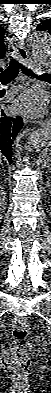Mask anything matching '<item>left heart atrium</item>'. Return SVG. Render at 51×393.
<instances>
[{
	"label": "left heart atrium",
	"mask_w": 51,
	"mask_h": 393,
	"mask_svg": "<svg viewBox=\"0 0 51 393\" xmlns=\"http://www.w3.org/2000/svg\"><path fill=\"white\" fill-rule=\"evenodd\" d=\"M14 107L22 113L38 115L44 112V101L39 92L27 90L16 99Z\"/></svg>",
	"instance_id": "39dd6f15"
}]
</instances>
